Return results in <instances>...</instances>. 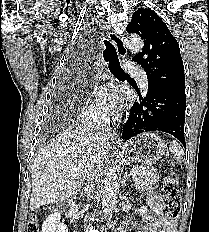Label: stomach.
Here are the masks:
<instances>
[{"label": "stomach", "instance_id": "0dacf381", "mask_svg": "<svg viewBox=\"0 0 209 232\" xmlns=\"http://www.w3.org/2000/svg\"><path fill=\"white\" fill-rule=\"evenodd\" d=\"M166 145L153 133H143L123 146V152L128 160L145 164L157 162L164 154Z\"/></svg>", "mask_w": 209, "mask_h": 232}]
</instances>
